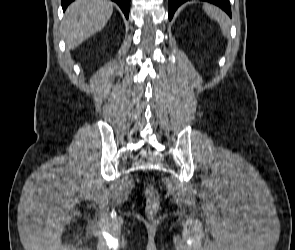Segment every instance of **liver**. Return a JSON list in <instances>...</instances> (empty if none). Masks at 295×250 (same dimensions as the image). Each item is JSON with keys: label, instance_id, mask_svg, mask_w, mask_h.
<instances>
[{"label": "liver", "instance_id": "1", "mask_svg": "<svg viewBox=\"0 0 295 250\" xmlns=\"http://www.w3.org/2000/svg\"><path fill=\"white\" fill-rule=\"evenodd\" d=\"M113 13L107 0H76L66 10L63 22L68 49H75L84 40L101 31Z\"/></svg>", "mask_w": 295, "mask_h": 250}]
</instances>
